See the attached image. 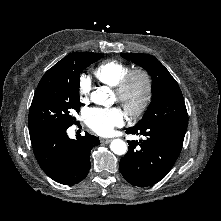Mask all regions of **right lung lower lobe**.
<instances>
[{"label": "right lung lower lobe", "instance_id": "right-lung-lower-lobe-1", "mask_svg": "<svg viewBox=\"0 0 221 221\" xmlns=\"http://www.w3.org/2000/svg\"><path fill=\"white\" fill-rule=\"evenodd\" d=\"M69 126H56L30 131L35 157L42 170L53 180L64 185L82 181L88 174L91 149L100 144L99 138L86 132L76 140L67 136Z\"/></svg>", "mask_w": 221, "mask_h": 221}]
</instances>
